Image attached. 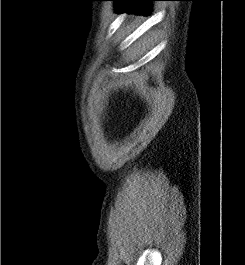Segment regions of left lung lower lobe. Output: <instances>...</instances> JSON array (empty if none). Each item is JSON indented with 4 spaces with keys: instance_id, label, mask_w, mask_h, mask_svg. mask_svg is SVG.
I'll use <instances>...</instances> for the list:
<instances>
[{
    "instance_id": "0a47b994",
    "label": "left lung lower lobe",
    "mask_w": 245,
    "mask_h": 265,
    "mask_svg": "<svg viewBox=\"0 0 245 265\" xmlns=\"http://www.w3.org/2000/svg\"><path fill=\"white\" fill-rule=\"evenodd\" d=\"M118 2L116 12L122 13L124 11L130 13H137L147 15L151 12L150 2L161 0H110Z\"/></svg>"
}]
</instances>
